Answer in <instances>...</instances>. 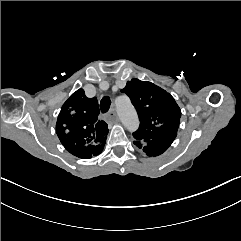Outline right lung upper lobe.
<instances>
[{"mask_svg": "<svg viewBox=\"0 0 241 241\" xmlns=\"http://www.w3.org/2000/svg\"><path fill=\"white\" fill-rule=\"evenodd\" d=\"M99 113L96 97L87 98L83 89L74 92L63 104L56 132L69 153L90 159L103 151L108 127L98 118Z\"/></svg>", "mask_w": 241, "mask_h": 241, "instance_id": "cb5924a9", "label": "right lung upper lobe"}]
</instances>
